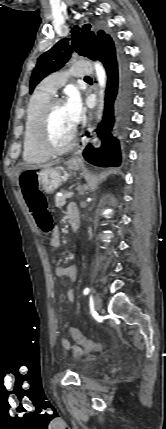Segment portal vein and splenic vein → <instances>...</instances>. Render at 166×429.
I'll list each match as a JSON object with an SVG mask.
<instances>
[{
  "mask_svg": "<svg viewBox=\"0 0 166 429\" xmlns=\"http://www.w3.org/2000/svg\"><path fill=\"white\" fill-rule=\"evenodd\" d=\"M72 196H73V192H68V193L66 194V197H67V198H72Z\"/></svg>",
  "mask_w": 166,
  "mask_h": 429,
  "instance_id": "1",
  "label": "portal vein and splenic vein"
}]
</instances>
